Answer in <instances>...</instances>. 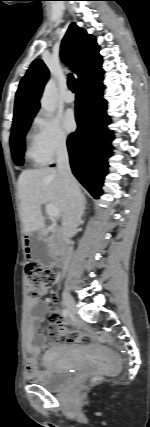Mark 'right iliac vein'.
<instances>
[{
    "instance_id": "obj_1",
    "label": "right iliac vein",
    "mask_w": 150,
    "mask_h": 427,
    "mask_svg": "<svg viewBox=\"0 0 150 427\" xmlns=\"http://www.w3.org/2000/svg\"><path fill=\"white\" fill-rule=\"evenodd\" d=\"M63 303L66 306V308L68 309V311L70 313H75L76 312V304L74 299L72 298L71 295H69L68 293H64L63 294Z\"/></svg>"
}]
</instances>
